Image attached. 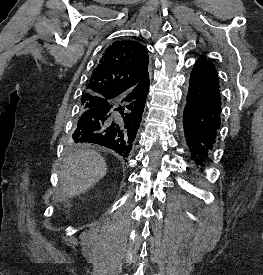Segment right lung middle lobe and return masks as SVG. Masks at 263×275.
<instances>
[{"mask_svg": "<svg viewBox=\"0 0 263 275\" xmlns=\"http://www.w3.org/2000/svg\"><path fill=\"white\" fill-rule=\"evenodd\" d=\"M104 103V100L98 96L91 94L82 95L81 98V110H87L96 106H99ZM74 148H80L79 145H72Z\"/></svg>", "mask_w": 263, "mask_h": 275, "instance_id": "obj_1", "label": "right lung middle lobe"}]
</instances>
